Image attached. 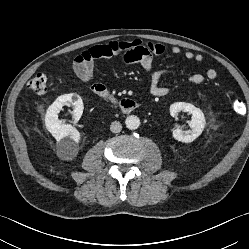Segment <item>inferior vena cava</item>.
Segmentation results:
<instances>
[{"label":"inferior vena cava","instance_id":"obj_1","mask_svg":"<svg viewBox=\"0 0 249 249\" xmlns=\"http://www.w3.org/2000/svg\"><path fill=\"white\" fill-rule=\"evenodd\" d=\"M110 130L113 132V133H118L122 130V125L119 121H114L111 123L110 125Z\"/></svg>","mask_w":249,"mask_h":249}]
</instances>
